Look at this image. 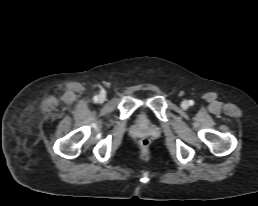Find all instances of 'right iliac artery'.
Masks as SVG:
<instances>
[{
  "label": "right iliac artery",
  "mask_w": 258,
  "mask_h": 206,
  "mask_svg": "<svg viewBox=\"0 0 258 206\" xmlns=\"http://www.w3.org/2000/svg\"><path fill=\"white\" fill-rule=\"evenodd\" d=\"M95 101H97L98 100V96H94V98H93Z\"/></svg>",
  "instance_id": "obj_1"
}]
</instances>
